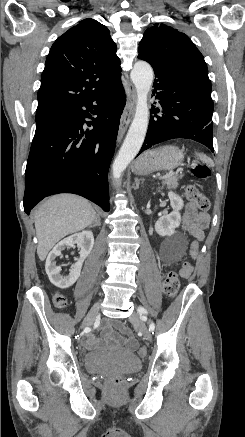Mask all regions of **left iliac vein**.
I'll return each mask as SVG.
<instances>
[{
  "mask_svg": "<svg viewBox=\"0 0 245 437\" xmlns=\"http://www.w3.org/2000/svg\"><path fill=\"white\" fill-rule=\"evenodd\" d=\"M130 321L132 324H134L135 326H137L139 328V330L142 332L143 337L150 340L151 339V332L148 329V327L146 326V324L143 322V320L140 318L138 313H133L130 316Z\"/></svg>",
  "mask_w": 245,
  "mask_h": 437,
  "instance_id": "left-iliac-vein-1",
  "label": "left iliac vein"
}]
</instances>
